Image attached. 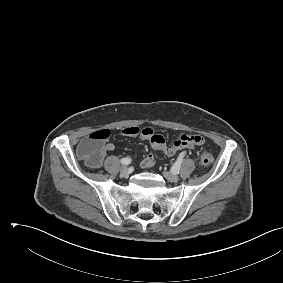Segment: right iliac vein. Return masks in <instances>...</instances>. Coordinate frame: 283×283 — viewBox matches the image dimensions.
<instances>
[{"label":"right iliac vein","instance_id":"63e3f726","mask_svg":"<svg viewBox=\"0 0 283 283\" xmlns=\"http://www.w3.org/2000/svg\"><path fill=\"white\" fill-rule=\"evenodd\" d=\"M128 174H129V168L127 166H122L120 168V175L126 177L128 176Z\"/></svg>","mask_w":283,"mask_h":283}]
</instances>
